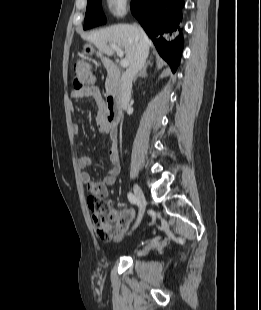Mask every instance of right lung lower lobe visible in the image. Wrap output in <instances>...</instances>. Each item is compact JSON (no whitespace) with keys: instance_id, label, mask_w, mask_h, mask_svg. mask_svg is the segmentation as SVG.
I'll return each mask as SVG.
<instances>
[{"instance_id":"right-lung-lower-lobe-1","label":"right lung lower lobe","mask_w":261,"mask_h":310,"mask_svg":"<svg viewBox=\"0 0 261 310\" xmlns=\"http://www.w3.org/2000/svg\"><path fill=\"white\" fill-rule=\"evenodd\" d=\"M183 0H132L131 11L173 72L180 62L183 38L172 39L182 21Z\"/></svg>"}]
</instances>
